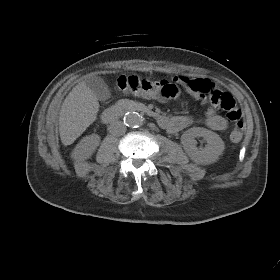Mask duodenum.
<instances>
[{"mask_svg": "<svg viewBox=\"0 0 280 280\" xmlns=\"http://www.w3.org/2000/svg\"><path fill=\"white\" fill-rule=\"evenodd\" d=\"M147 111L146 108L140 104H131V105H116L107 108L102 114V122L105 124H110L116 121L123 113L127 111ZM154 117L156 118L158 124L163 127L167 124L168 119L167 117L153 113Z\"/></svg>", "mask_w": 280, "mask_h": 280, "instance_id": "obj_1", "label": "duodenum"}]
</instances>
